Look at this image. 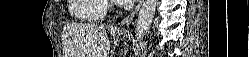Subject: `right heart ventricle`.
<instances>
[{
	"instance_id": "1",
	"label": "right heart ventricle",
	"mask_w": 249,
	"mask_h": 57,
	"mask_svg": "<svg viewBox=\"0 0 249 57\" xmlns=\"http://www.w3.org/2000/svg\"><path fill=\"white\" fill-rule=\"evenodd\" d=\"M69 12L75 19L99 21L106 15L105 0H70Z\"/></svg>"
}]
</instances>
